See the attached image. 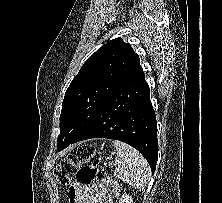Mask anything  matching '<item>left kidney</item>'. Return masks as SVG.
Returning <instances> with one entry per match:
<instances>
[{
  "mask_svg": "<svg viewBox=\"0 0 222 203\" xmlns=\"http://www.w3.org/2000/svg\"><path fill=\"white\" fill-rule=\"evenodd\" d=\"M119 203H133L132 197L127 195V194H123L121 196V199L119 201Z\"/></svg>",
  "mask_w": 222,
  "mask_h": 203,
  "instance_id": "5707ae66",
  "label": "left kidney"
}]
</instances>
